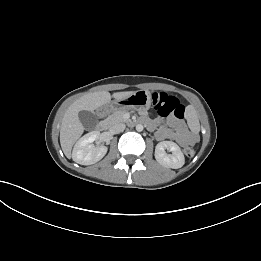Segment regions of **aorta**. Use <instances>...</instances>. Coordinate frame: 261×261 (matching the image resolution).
Here are the masks:
<instances>
[{
    "instance_id": "aorta-1",
    "label": "aorta",
    "mask_w": 261,
    "mask_h": 261,
    "mask_svg": "<svg viewBox=\"0 0 261 261\" xmlns=\"http://www.w3.org/2000/svg\"><path fill=\"white\" fill-rule=\"evenodd\" d=\"M136 130H137L138 132L143 131V125H141V124L136 125Z\"/></svg>"
}]
</instances>
